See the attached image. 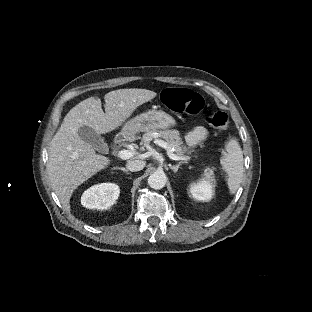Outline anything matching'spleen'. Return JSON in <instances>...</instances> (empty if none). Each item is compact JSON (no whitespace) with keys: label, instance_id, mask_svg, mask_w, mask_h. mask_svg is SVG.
<instances>
[{"label":"spleen","instance_id":"3e777b00","mask_svg":"<svg viewBox=\"0 0 312 312\" xmlns=\"http://www.w3.org/2000/svg\"><path fill=\"white\" fill-rule=\"evenodd\" d=\"M220 158L221 170L226 174L228 191L231 195L238 190L243 174V153L236 139L225 143Z\"/></svg>","mask_w":312,"mask_h":312}]
</instances>
